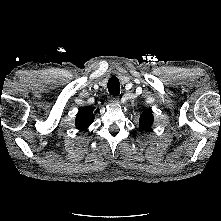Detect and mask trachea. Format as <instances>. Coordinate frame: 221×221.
<instances>
[{
	"label": "trachea",
	"mask_w": 221,
	"mask_h": 221,
	"mask_svg": "<svg viewBox=\"0 0 221 221\" xmlns=\"http://www.w3.org/2000/svg\"><path fill=\"white\" fill-rule=\"evenodd\" d=\"M108 91L113 96H118L120 94V82L116 76H112L107 83Z\"/></svg>",
	"instance_id": "3493384b"
}]
</instances>
